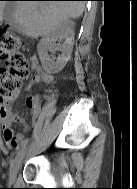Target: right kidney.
<instances>
[{
    "instance_id": "right-kidney-1",
    "label": "right kidney",
    "mask_w": 137,
    "mask_h": 189,
    "mask_svg": "<svg viewBox=\"0 0 137 189\" xmlns=\"http://www.w3.org/2000/svg\"><path fill=\"white\" fill-rule=\"evenodd\" d=\"M58 40H64L63 44H56ZM74 44V31L68 21L62 22L53 32L45 35L37 46L38 55L43 69L47 73L60 72L69 61ZM60 51L61 54L55 61L50 58L48 52Z\"/></svg>"
}]
</instances>
